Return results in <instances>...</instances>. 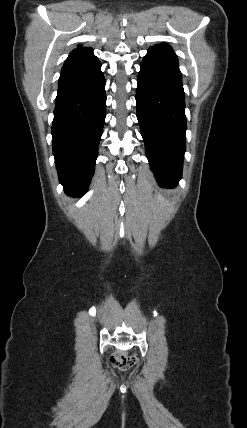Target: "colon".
<instances>
[{
	"label": "colon",
	"instance_id": "5ec220e1",
	"mask_svg": "<svg viewBox=\"0 0 247 428\" xmlns=\"http://www.w3.org/2000/svg\"><path fill=\"white\" fill-rule=\"evenodd\" d=\"M134 357L125 353H117L111 357L112 364L119 369H126L134 364Z\"/></svg>",
	"mask_w": 247,
	"mask_h": 428
}]
</instances>
